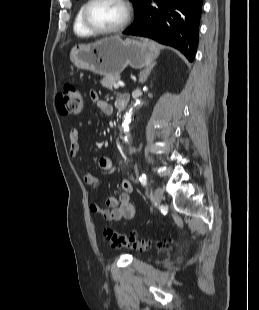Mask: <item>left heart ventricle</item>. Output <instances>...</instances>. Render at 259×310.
<instances>
[{
    "label": "left heart ventricle",
    "instance_id": "obj_1",
    "mask_svg": "<svg viewBox=\"0 0 259 310\" xmlns=\"http://www.w3.org/2000/svg\"><path fill=\"white\" fill-rule=\"evenodd\" d=\"M125 17V9L118 0H98L89 11L90 21L99 28L118 26Z\"/></svg>",
    "mask_w": 259,
    "mask_h": 310
}]
</instances>
